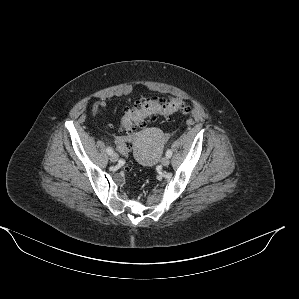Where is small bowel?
<instances>
[{
	"label": "small bowel",
	"mask_w": 299,
	"mask_h": 299,
	"mask_svg": "<svg viewBox=\"0 0 299 299\" xmlns=\"http://www.w3.org/2000/svg\"><path fill=\"white\" fill-rule=\"evenodd\" d=\"M113 139H114L115 144L117 145V148H118V145L120 143H127V144H129L132 141V138L129 137V136H115ZM120 153L123 155L122 151H120Z\"/></svg>",
	"instance_id": "1"
}]
</instances>
